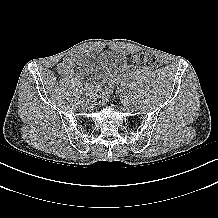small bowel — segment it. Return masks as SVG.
Returning <instances> with one entry per match:
<instances>
[{"label":"small bowel","instance_id":"small-bowel-1","mask_svg":"<svg viewBox=\"0 0 218 218\" xmlns=\"http://www.w3.org/2000/svg\"><path fill=\"white\" fill-rule=\"evenodd\" d=\"M58 71L61 74L72 75L74 74V57L72 55L66 56L59 64Z\"/></svg>","mask_w":218,"mask_h":218}]
</instances>
